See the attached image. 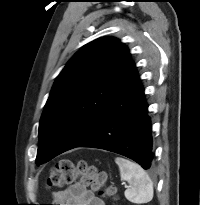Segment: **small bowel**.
I'll return each instance as SVG.
<instances>
[{
	"label": "small bowel",
	"mask_w": 200,
	"mask_h": 205,
	"mask_svg": "<svg viewBox=\"0 0 200 205\" xmlns=\"http://www.w3.org/2000/svg\"><path fill=\"white\" fill-rule=\"evenodd\" d=\"M51 205H104V203L85 185L75 183L62 191L53 193Z\"/></svg>",
	"instance_id": "c3829d8e"
}]
</instances>
